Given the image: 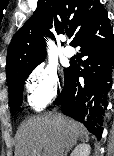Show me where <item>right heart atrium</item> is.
Returning <instances> with one entry per match:
<instances>
[{
  "instance_id": "right-heart-atrium-1",
  "label": "right heart atrium",
  "mask_w": 114,
  "mask_h": 156,
  "mask_svg": "<svg viewBox=\"0 0 114 156\" xmlns=\"http://www.w3.org/2000/svg\"><path fill=\"white\" fill-rule=\"evenodd\" d=\"M26 93L29 105L40 111L51 103L61 89V80L56 68L38 65L29 74L26 81Z\"/></svg>"
}]
</instances>
